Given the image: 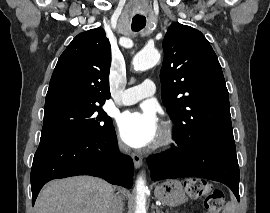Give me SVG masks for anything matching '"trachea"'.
<instances>
[{
  "instance_id": "trachea-1",
  "label": "trachea",
  "mask_w": 270,
  "mask_h": 213,
  "mask_svg": "<svg viewBox=\"0 0 270 213\" xmlns=\"http://www.w3.org/2000/svg\"><path fill=\"white\" fill-rule=\"evenodd\" d=\"M146 25L145 18H133L132 19V30L133 31H140Z\"/></svg>"
}]
</instances>
